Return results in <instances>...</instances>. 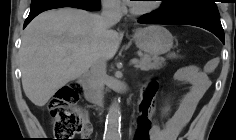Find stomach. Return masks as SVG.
Returning a JSON list of instances; mask_svg holds the SVG:
<instances>
[{
    "instance_id": "obj_1",
    "label": "stomach",
    "mask_w": 236,
    "mask_h": 140,
    "mask_svg": "<svg viewBox=\"0 0 236 140\" xmlns=\"http://www.w3.org/2000/svg\"><path fill=\"white\" fill-rule=\"evenodd\" d=\"M134 39L137 47L150 55L165 54L173 46L172 34L162 26L151 25L135 31Z\"/></svg>"
}]
</instances>
